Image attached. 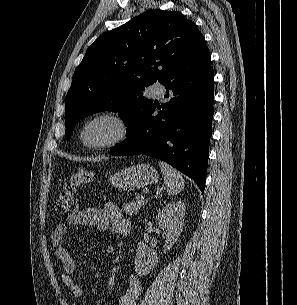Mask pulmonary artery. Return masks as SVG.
Returning <instances> with one entry per match:
<instances>
[{
  "label": "pulmonary artery",
  "instance_id": "obj_1",
  "mask_svg": "<svg viewBox=\"0 0 297 305\" xmlns=\"http://www.w3.org/2000/svg\"><path fill=\"white\" fill-rule=\"evenodd\" d=\"M148 91L152 96H161L164 93V86L155 82L148 88Z\"/></svg>",
  "mask_w": 297,
  "mask_h": 305
}]
</instances>
